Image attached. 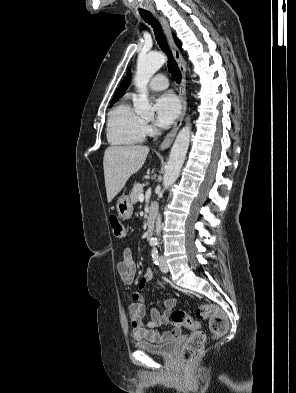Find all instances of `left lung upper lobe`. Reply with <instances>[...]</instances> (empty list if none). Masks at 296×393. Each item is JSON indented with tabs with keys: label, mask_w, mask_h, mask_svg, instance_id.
Returning <instances> with one entry per match:
<instances>
[{
	"label": "left lung upper lobe",
	"mask_w": 296,
	"mask_h": 393,
	"mask_svg": "<svg viewBox=\"0 0 296 393\" xmlns=\"http://www.w3.org/2000/svg\"><path fill=\"white\" fill-rule=\"evenodd\" d=\"M175 40H176L177 45L180 47L179 41H178L177 39H175ZM129 84H130V72H128V74H127L126 77L124 78L123 82L120 84V86H119L118 89L116 90V92H115V94H114V96H113V99H112V102H111L110 107H111L119 98H121L122 92H124V91L127 89V87L129 86Z\"/></svg>",
	"instance_id": "left-lung-upper-lobe-1"
}]
</instances>
